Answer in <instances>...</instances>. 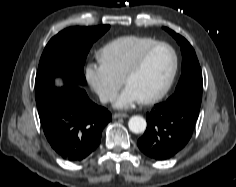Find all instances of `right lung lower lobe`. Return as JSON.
<instances>
[{
	"instance_id": "right-lung-lower-lobe-1",
	"label": "right lung lower lobe",
	"mask_w": 236,
	"mask_h": 187,
	"mask_svg": "<svg viewBox=\"0 0 236 187\" xmlns=\"http://www.w3.org/2000/svg\"><path fill=\"white\" fill-rule=\"evenodd\" d=\"M44 134L52 148L65 160L79 162L98 147L111 113L93 103L76 86L53 88L38 101Z\"/></svg>"
}]
</instances>
